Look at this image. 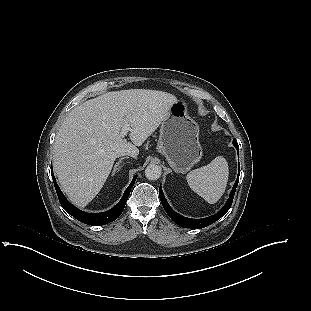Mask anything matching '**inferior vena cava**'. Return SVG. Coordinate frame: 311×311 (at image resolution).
I'll return each mask as SVG.
<instances>
[{"label":"inferior vena cava","instance_id":"602c4592","mask_svg":"<svg viewBox=\"0 0 311 311\" xmlns=\"http://www.w3.org/2000/svg\"><path fill=\"white\" fill-rule=\"evenodd\" d=\"M122 155H123V156H124V155H128L129 158L134 159V158H137L138 152H137L136 149L131 148V149L128 150L127 153L122 154Z\"/></svg>","mask_w":311,"mask_h":311}]
</instances>
